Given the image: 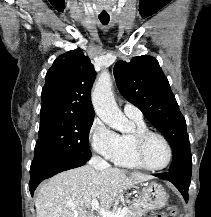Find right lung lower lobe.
<instances>
[{
    "label": "right lung lower lobe",
    "mask_w": 211,
    "mask_h": 217,
    "mask_svg": "<svg viewBox=\"0 0 211 217\" xmlns=\"http://www.w3.org/2000/svg\"><path fill=\"white\" fill-rule=\"evenodd\" d=\"M88 160H79L62 156H42L34 158L30 167L29 190L33 196L34 190L44 179L72 168L83 166Z\"/></svg>",
    "instance_id": "1"
}]
</instances>
